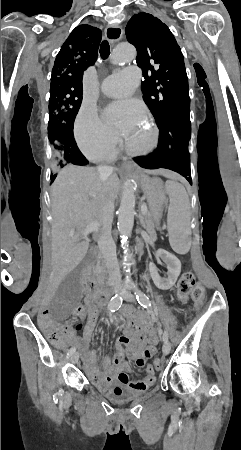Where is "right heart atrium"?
Here are the masks:
<instances>
[{"mask_svg": "<svg viewBox=\"0 0 241 450\" xmlns=\"http://www.w3.org/2000/svg\"><path fill=\"white\" fill-rule=\"evenodd\" d=\"M74 135L80 152L91 160L111 158L115 150L112 131L98 118L95 109L82 105L74 121Z\"/></svg>", "mask_w": 241, "mask_h": 450, "instance_id": "1", "label": "right heart atrium"}]
</instances>
